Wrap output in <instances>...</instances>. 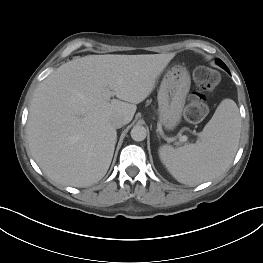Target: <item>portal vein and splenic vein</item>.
Here are the masks:
<instances>
[{
  "mask_svg": "<svg viewBox=\"0 0 263 263\" xmlns=\"http://www.w3.org/2000/svg\"><path fill=\"white\" fill-rule=\"evenodd\" d=\"M179 139L182 141V142H186L187 141V136L183 135V136H180Z\"/></svg>",
  "mask_w": 263,
  "mask_h": 263,
  "instance_id": "1",
  "label": "portal vein and splenic vein"
}]
</instances>
